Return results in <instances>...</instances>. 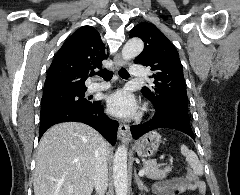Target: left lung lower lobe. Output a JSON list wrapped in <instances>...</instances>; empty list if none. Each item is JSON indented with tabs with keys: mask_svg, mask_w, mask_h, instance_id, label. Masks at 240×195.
I'll return each instance as SVG.
<instances>
[{
	"mask_svg": "<svg viewBox=\"0 0 240 195\" xmlns=\"http://www.w3.org/2000/svg\"><path fill=\"white\" fill-rule=\"evenodd\" d=\"M158 128L176 129L194 139L189 117L178 113H157L150 121L131 126L130 131L134 139H138L143 134Z\"/></svg>",
	"mask_w": 240,
	"mask_h": 195,
	"instance_id": "obj_1",
	"label": "left lung lower lobe"
}]
</instances>
